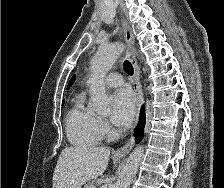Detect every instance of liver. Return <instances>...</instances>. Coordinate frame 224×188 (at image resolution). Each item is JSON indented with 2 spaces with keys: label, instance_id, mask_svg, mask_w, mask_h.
<instances>
[{
  "label": "liver",
  "instance_id": "obj_1",
  "mask_svg": "<svg viewBox=\"0 0 224 188\" xmlns=\"http://www.w3.org/2000/svg\"><path fill=\"white\" fill-rule=\"evenodd\" d=\"M109 157L106 147H65L54 170L52 187L81 188L106 170Z\"/></svg>",
  "mask_w": 224,
  "mask_h": 188
}]
</instances>
